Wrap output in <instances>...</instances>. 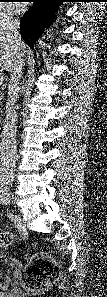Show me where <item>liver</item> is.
<instances>
[{"label":"liver","instance_id":"obj_1","mask_svg":"<svg viewBox=\"0 0 107 297\" xmlns=\"http://www.w3.org/2000/svg\"><path fill=\"white\" fill-rule=\"evenodd\" d=\"M26 45H23L25 53ZM17 60V46L9 42L5 35L0 34V68L12 72Z\"/></svg>","mask_w":107,"mask_h":297}]
</instances>
